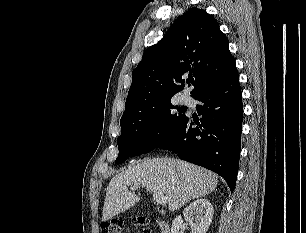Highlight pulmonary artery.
Listing matches in <instances>:
<instances>
[{
  "label": "pulmonary artery",
  "mask_w": 306,
  "mask_h": 233,
  "mask_svg": "<svg viewBox=\"0 0 306 233\" xmlns=\"http://www.w3.org/2000/svg\"><path fill=\"white\" fill-rule=\"evenodd\" d=\"M181 102L186 105H191L193 101H192V98L188 94H183L181 96Z\"/></svg>",
  "instance_id": "pulmonary-artery-1"
}]
</instances>
